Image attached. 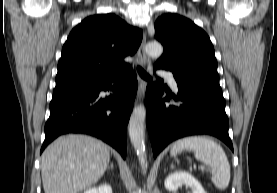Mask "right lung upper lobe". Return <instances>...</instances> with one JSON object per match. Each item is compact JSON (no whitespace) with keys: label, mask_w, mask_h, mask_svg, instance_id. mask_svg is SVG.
Instances as JSON below:
<instances>
[{"label":"right lung upper lobe","mask_w":277,"mask_h":193,"mask_svg":"<svg viewBox=\"0 0 277 193\" xmlns=\"http://www.w3.org/2000/svg\"><path fill=\"white\" fill-rule=\"evenodd\" d=\"M142 31L115 14L89 16L70 33L58 62L56 86L93 82L128 68L124 57L133 55Z\"/></svg>","instance_id":"obj_1"}]
</instances>
